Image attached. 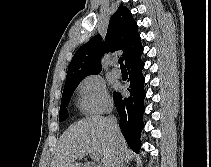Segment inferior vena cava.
I'll list each match as a JSON object with an SVG mask.
<instances>
[{
	"label": "inferior vena cava",
	"instance_id": "inferior-vena-cava-1",
	"mask_svg": "<svg viewBox=\"0 0 211 167\" xmlns=\"http://www.w3.org/2000/svg\"><path fill=\"white\" fill-rule=\"evenodd\" d=\"M112 111V108L109 109V113ZM108 123H109V128L110 130L115 133L118 130V125H117V119L113 115H109L108 117ZM122 153L117 152L116 158L112 164V167H122Z\"/></svg>",
	"mask_w": 211,
	"mask_h": 167
}]
</instances>
